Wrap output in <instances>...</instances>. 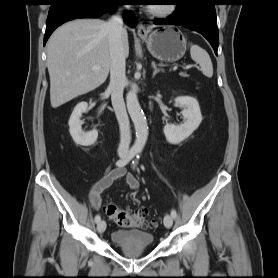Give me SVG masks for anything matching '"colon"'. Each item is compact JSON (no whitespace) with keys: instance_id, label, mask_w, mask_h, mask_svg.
<instances>
[{"instance_id":"1","label":"colon","mask_w":278,"mask_h":278,"mask_svg":"<svg viewBox=\"0 0 278 278\" xmlns=\"http://www.w3.org/2000/svg\"><path fill=\"white\" fill-rule=\"evenodd\" d=\"M105 212L116 224L126 228H150L155 226L156 221L149 217L145 211H130L108 203Z\"/></svg>"}]
</instances>
